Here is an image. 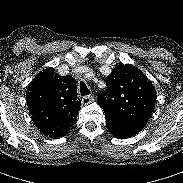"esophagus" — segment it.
<instances>
[{"label": "esophagus", "instance_id": "obj_1", "mask_svg": "<svg viewBox=\"0 0 183 183\" xmlns=\"http://www.w3.org/2000/svg\"><path fill=\"white\" fill-rule=\"evenodd\" d=\"M82 104L87 105L94 101V96L93 95H86L82 97Z\"/></svg>", "mask_w": 183, "mask_h": 183}]
</instances>
